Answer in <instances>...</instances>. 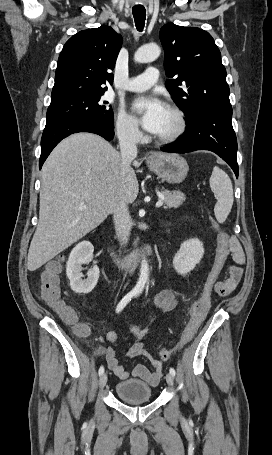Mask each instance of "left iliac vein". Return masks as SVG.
<instances>
[{
    "instance_id": "1",
    "label": "left iliac vein",
    "mask_w": 272,
    "mask_h": 455,
    "mask_svg": "<svg viewBox=\"0 0 272 455\" xmlns=\"http://www.w3.org/2000/svg\"><path fill=\"white\" fill-rule=\"evenodd\" d=\"M166 381H167V383H168L169 386H173V384H174V377H173V375H171L170 373H168V374L166 375Z\"/></svg>"
}]
</instances>
